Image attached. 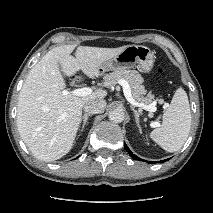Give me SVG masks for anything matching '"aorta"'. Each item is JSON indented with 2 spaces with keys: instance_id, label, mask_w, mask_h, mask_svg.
I'll return each instance as SVG.
<instances>
[{
  "instance_id": "1",
  "label": "aorta",
  "mask_w": 213,
  "mask_h": 213,
  "mask_svg": "<svg viewBox=\"0 0 213 213\" xmlns=\"http://www.w3.org/2000/svg\"><path fill=\"white\" fill-rule=\"evenodd\" d=\"M108 117L114 123H121L125 118V113L122 109L116 108L109 112Z\"/></svg>"
}]
</instances>
